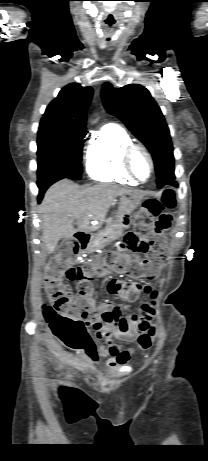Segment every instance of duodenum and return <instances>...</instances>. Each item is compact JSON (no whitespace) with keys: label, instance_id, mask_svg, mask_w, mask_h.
I'll return each mask as SVG.
<instances>
[{"label":"duodenum","instance_id":"1","mask_svg":"<svg viewBox=\"0 0 208 461\" xmlns=\"http://www.w3.org/2000/svg\"><path fill=\"white\" fill-rule=\"evenodd\" d=\"M81 237L84 238L86 241H89V239H90L89 233L82 234Z\"/></svg>","mask_w":208,"mask_h":461}]
</instances>
